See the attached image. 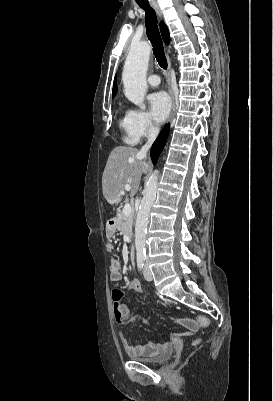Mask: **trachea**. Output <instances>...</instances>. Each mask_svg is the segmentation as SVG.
<instances>
[{
    "mask_svg": "<svg viewBox=\"0 0 273 401\" xmlns=\"http://www.w3.org/2000/svg\"><path fill=\"white\" fill-rule=\"evenodd\" d=\"M145 10V26L148 39L150 40L153 53L161 68L167 69L168 63L164 53L163 43L157 25L155 10L150 5H140Z\"/></svg>",
    "mask_w": 273,
    "mask_h": 401,
    "instance_id": "1",
    "label": "trachea"
}]
</instances>
